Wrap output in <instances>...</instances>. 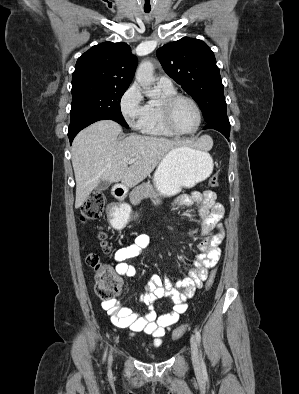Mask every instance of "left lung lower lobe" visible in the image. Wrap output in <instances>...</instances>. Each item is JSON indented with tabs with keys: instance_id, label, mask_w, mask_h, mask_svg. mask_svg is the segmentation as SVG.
Listing matches in <instances>:
<instances>
[{
	"instance_id": "1",
	"label": "left lung lower lobe",
	"mask_w": 299,
	"mask_h": 394,
	"mask_svg": "<svg viewBox=\"0 0 299 394\" xmlns=\"http://www.w3.org/2000/svg\"><path fill=\"white\" fill-rule=\"evenodd\" d=\"M203 129H215L221 132L229 140L230 123L228 119L212 121L208 123Z\"/></svg>"
}]
</instances>
